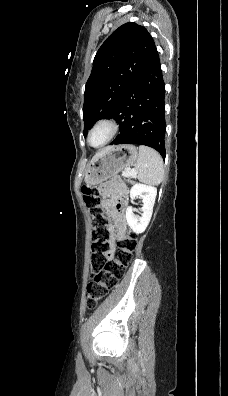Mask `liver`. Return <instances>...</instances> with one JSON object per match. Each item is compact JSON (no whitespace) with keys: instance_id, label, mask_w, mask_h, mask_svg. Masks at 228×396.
Masks as SVG:
<instances>
[{"instance_id":"1","label":"liver","mask_w":228,"mask_h":396,"mask_svg":"<svg viewBox=\"0 0 228 396\" xmlns=\"http://www.w3.org/2000/svg\"><path fill=\"white\" fill-rule=\"evenodd\" d=\"M112 147H108L104 150H102L101 152L97 153L91 160V162H93L97 157H99L101 154H103L104 152H106L107 150L111 149Z\"/></svg>"}]
</instances>
